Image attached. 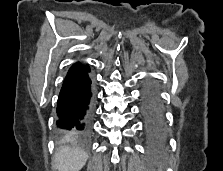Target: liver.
Segmentation results:
<instances>
[{"label":"liver","instance_id":"1","mask_svg":"<svg viewBox=\"0 0 223 171\" xmlns=\"http://www.w3.org/2000/svg\"><path fill=\"white\" fill-rule=\"evenodd\" d=\"M88 155L77 148L61 147L56 151L53 166L57 171H80Z\"/></svg>","mask_w":223,"mask_h":171}]
</instances>
